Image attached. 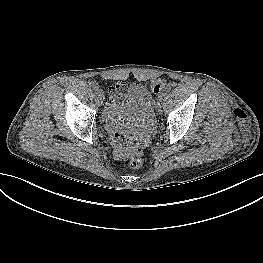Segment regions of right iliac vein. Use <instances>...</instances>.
I'll return each mask as SVG.
<instances>
[{
    "label": "right iliac vein",
    "instance_id": "right-iliac-vein-1",
    "mask_svg": "<svg viewBox=\"0 0 263 263\" xmlns=\"http://www.w3.org/2000/svg\"><path fill=\"white\" fill-rule=\"evenodd\" d=\"M99 97H100V99L101 100H106V95H105V93L104 92H99Z\"/></svg>",
    "mask_w": 263,
    "mask_h": 263
}]
</instances>
